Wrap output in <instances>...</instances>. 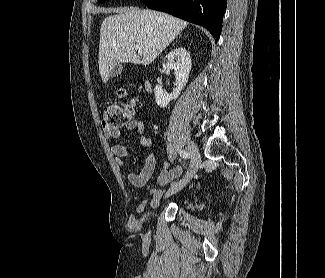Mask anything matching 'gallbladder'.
<instances>
[{
	"label": "gallbladder",
	"instance_id": "obj_1",
	"mask_svg": "<svg viewBox=\"0 0 325 278\" xmlns=\"http://www.w3.org/2000/svg\"><path fill=\"white\" fill-rule=\"evenodd\" d=\"M122 72V65L119 62L115 63L114 69L111 73V77H117Z\"/></svg>",
	"mask_w": 325,
	"mask_h": 278
}]
</instances>
